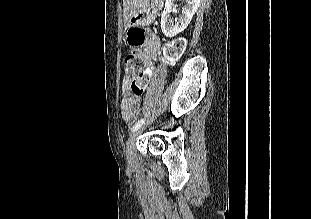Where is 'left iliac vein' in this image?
Wrapping results in <instances>:
<instances>
[{
  "instance_id": "4c4485c4",
  "label": "left iliac vein",
  "mask_w": 311,
  "mask_h": 219,
  "mask_svg": "<svg viewBox=\"0 0 311 219\" xmlns=\"http://www.w3.org/2000/svg\"><path fill=\"white\" fill-rule=\"evenodd\" d=\"M143 131V128H138L137 130L133 131L126 143V157L127 160L131 163L133 161V155H134V149H135V143L138 138V136Z\"/></svg>"
}]
</instances>
